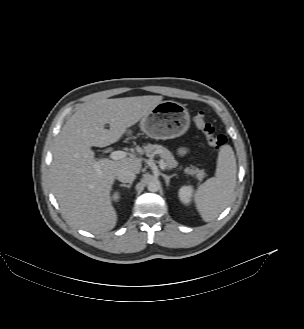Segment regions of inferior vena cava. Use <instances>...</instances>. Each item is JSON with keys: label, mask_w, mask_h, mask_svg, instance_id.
<instances>
[{"label": "inferior vena cava", "mask_w": 304, "mask_h": 329, "mask_svg": "<svg viewBox=\"0 0 304 329\" xmlns=\"http://www.w3.org/2000/svg\"><path fill=\"white\" fill-rule=\"evenodd\" d=\"M135 178H136L135 172L130 169H121L117 173V179L123 183H132L135 180Z\"/></svg>", "instance_id": "obj_1"}]
</instances>
